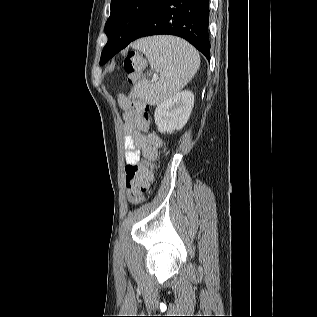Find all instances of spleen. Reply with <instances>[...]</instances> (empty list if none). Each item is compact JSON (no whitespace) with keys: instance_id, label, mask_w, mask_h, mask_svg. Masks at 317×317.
<instances>
[{"instance_id":"3e777b00","label":"spleen","mask_w":317,"mask_h":317,"mask_svg":"<svg viewBox=\"0 0 317 317\" xmlns=\"http://www.w3.org/2000/svg\"><path fill=\"white\" fill-rule=\"evenodd\" d=\"M133 48L146 55L152 70L160 72L159 78L142 80L132 90L133 96L151 105H158L178 93L200 66L196 49L178 37L143 38L134 42Z\"/></svg>"}]
</instances>
